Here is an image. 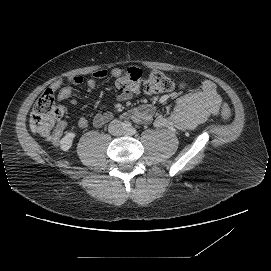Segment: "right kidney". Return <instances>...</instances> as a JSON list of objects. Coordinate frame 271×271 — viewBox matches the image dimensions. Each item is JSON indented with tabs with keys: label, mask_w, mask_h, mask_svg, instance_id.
I'll return each mask as SVG.
<instances>
[{
	"label": "right kidney",
	"mask_w": 271,
	"mask_h": 271,
	"mask_svg": "<svg viewBox=\"0 0 271 271\" xmlns=\"http://www.w3.org/2000/svg\"><path fill=\"white\" fill-rule=\"evenodd\" d=\"M75 137V133L68 132L60 141V147L63 151H68L72 146L73 139Z\"/></svg>",
	"instance_id": "ca27d5eb"
}]
</instances>
